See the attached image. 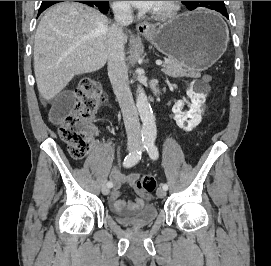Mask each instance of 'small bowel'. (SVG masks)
<instances>
[{
  "mask_svg": "<svg viewBox=\"0 0 271 266\" xmlns=\"http://www.w3.org/2000/svg\"><path fill=\"white\" fill-rule=\"evenodd\" d=\"M74 97L70 91H65L59 94L51 104L50 117L53 122H58L60 118L71 108ZM92 132L96 134V129L93 128ZM111 178L114 182L112 192L110 194V202L115 211L131 210L138 211L145 206V202L151 198L150 194H145L138 191V197L134 200L121 199L120 188L123 185H133L139 178L138 173H132L129 175L121 174L117 170H113Z\"/></svg>",
  "mask_w": 271,
  "mask_h": 266,
  "instance_id": "1",
  "label": "small bowel"
}]
</instances>
